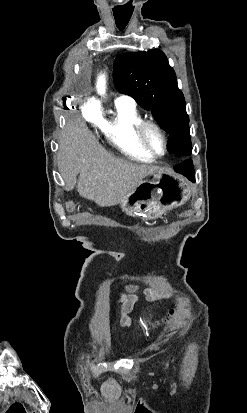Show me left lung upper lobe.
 <instances>
[{"mask_svg":"<svg viewBox=\"0 0 247 413\" xmlns=\"http://www.w3.org/2000/svg\"><path fill=\"white\" fill-rule=\"evenodd\" d=\"M116 89L130 95L144 109L151 111L159 125L170 134L168 151L188 157L192 153L189 117L176 74L159 49L130 52L114 62Z\"/></svg>","mask_w":247,"mask_h":413,"instance_id":"5c2ea615","label":"left lung upper lobe"}]
</instances>
